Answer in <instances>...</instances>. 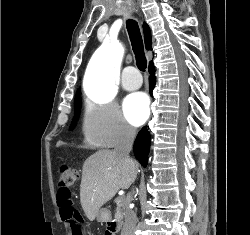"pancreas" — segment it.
Wrapping results in <instances>:
<instances>
[{"instance_id": "1", "label": "pancreas", "mask_w": 250, "mask_h": 235, "mask_svg": "<svg viewBox=\"0 0 250 235\" xmlns=\"http://www.w3.org/2000/svg\"><path fill=\"white\" fill-rule=\"evenodd\" d=\"M124 206V198H121L117 202V211L115 213V218L118 220V222H121L123 219V209L122 207Z\"/></svg>"}]
</instances>
